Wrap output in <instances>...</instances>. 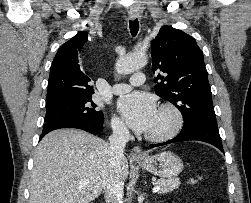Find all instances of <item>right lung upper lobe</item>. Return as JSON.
Wrapping results in <instances>:
<instances>
[{
    "mask_svg": "<svg viewBox=\"0 0 251 203\" xmlns=\"http://www.w3.org/2000/svg\"><path fill=\"white\" fill-rule=\"evenodd\" d=\"M87 41V33L81 31L57 51L50 70L46 108L89 98L94 93L81 66L80 53Z\"/></svg>",
    "mask_w": 251,
    "mask_h": 203,
    "instance_id": "cb5924a9",
    "label": "right lung upper lobe"
}]
</instances>
